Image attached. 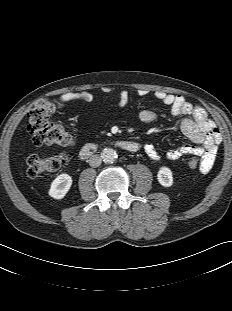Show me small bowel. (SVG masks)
Listing matches in <instances>:
<instances>
[{
    "instance_id": "small-bowel-1",
    "label": "small bowel",
    "mask_w": 232,
    "mask_h": 311,
    "mask_svg": "<svg viewBox=\"0 0 232 311\" xmlns=\"http://www.w3.org/2000/svg\"><path fill=\"white\" fill-rule=\"evenodd\" d=\"M105 94H115L120 106L128 103L129 93L127 90L115 92L112 88H103ZM151 91L146 88L137 90L138 96L147 97ZM153 96L160 102L170 106L172 114L181 117L180 128L183 134L192 142V144H183L177 148L170 149L165 156L169 160H177L184 156H198L201 158V171L207 173L211 170L218 145L221 141V133L215 124L207 117L205 111L198 106L188 102L183 96L171 94L163 90H155ZM65 102L84 101L90 102L93 95L88 91L66 92L60 96ZM138 118L142 123H151L156 119V113L150 109H142ZM144 151L153 161H159L160 155L155 147L150 144H144Z\"/></svg>"
}]
</instances>
